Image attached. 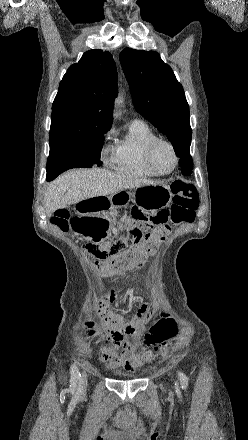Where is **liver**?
Masks as SVG:
<instances>
[{
  "instance_id": "6515ba94",
  "label": "liver",
  "mask_w": 248,
  "mask_h": 440,
  "mask_svg": "<svg viewBox=\"0 0 248 440\" xmlns=\"http://www.w3.org/2000/svg\"><path fill=\"white\" fill-rule=\"evenodd\" d=\"M154 183L157 182L113 173L106 169H74L50 183L45 193L44 207L47 215L51 216L56 210L83 200Z\"/></svg>"
}]
</instances>
